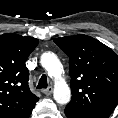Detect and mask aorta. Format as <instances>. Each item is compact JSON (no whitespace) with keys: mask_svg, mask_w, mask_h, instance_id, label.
I'll use <instances>...</instances> for the list:
<instances>
[{"mask_svg":"<svg viewBox=\"0 0 118 118\" xmlns=\"http://www.w3.org/2000/svg\"><path fill=\"white\" fill-rule=\"evenodd\" d=\"M41 64L48 72V75L55 79L53 91L55 101L62 105L67 104L71 99V91L68 84L61 76L63 67L60 60L54 53L46 52L41 56Z\"/></svg>","mask_w":118,"mask_h":118,"instance_id":"obj_1","label":"aorta"}]
</instances>
